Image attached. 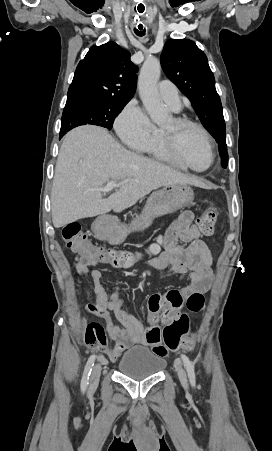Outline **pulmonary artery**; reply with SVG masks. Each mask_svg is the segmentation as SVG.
I'll return each instance as SVG.
<instances>
[{"instance_id": "e3ab8cb5", "label": "pulmonary artery", "mask_w": 272, "mask_h": 451, "mask_svg": "<svg viewBox=\"0 0 272 451\" xmlns=\"http://www.w3.org/2000/svg\"><path fill=\"white\" fill-rule=\"evenodd\" d=\"M159 95L173 110L178 111L181 107L180 95L177 87L172 82L161 81L158 84Z\"/></svg>"}]
</instances>
